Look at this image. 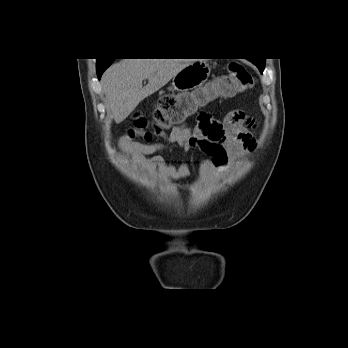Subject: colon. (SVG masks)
Instances as JSON below:
<instances>
[{
    "label": "colon",
    "mask_w": 348,
    "mask_h": 348,
    "mask_svg": "<svg viewBox=\"0 0 348 348\" xmlns=\"http://www.w3.org/2000/svg\"><path fill=\"white\" fill-rule=\"evenodd\" d=\"M254 83L253 75L242 64L233 62L228 67V74L219 77L210 88L220 96H232L248 91ZM193 109L189 96L165 94L159 98L150 120L142 115L134 117L128 136L151 140L184 121Z\"/></svg>",
    "instance_id": "1"
}]
</instances>
